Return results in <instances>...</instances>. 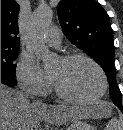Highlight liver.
<instances>
[{
    "mask_svg": "<svg viewBox=\"0 0 123 130\" xmlns=\"http://www.w3.org/2000/svg\"><path fill=\"white\" fill-rule=\"evenodd\" d=\"M98 106L30 103L24 94L1 84V130H39V122L60 126L98 115Z\"/></svg>",
    "mask_w": 123,
    "mask_h": 130,
    "instance_id": "obj_1",
    "label": "liver"
}]
</instances>
